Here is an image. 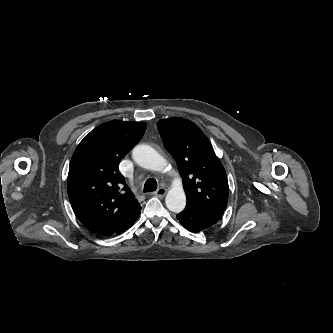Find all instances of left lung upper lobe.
Here are the masks:
<instances>
[{
	"instance_id": "5c2ea615",
	"label": "left lung upper lobe",
	"mask_w": 333,
	"mask_h": 333,
	"mask_svg": "<svg viewBox=\"0 0 333 333\" xmlns=\"http://www.w3.org/2000/svg\"><path fill=\"white\" fill-rule=\"evenodd\" d=\"M157 126L164 147L177 162L186 205L223 215L229 192L227 175L206 135L184 118L163 119Z\"/></svg>"
}]
</instances>
